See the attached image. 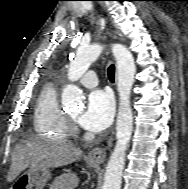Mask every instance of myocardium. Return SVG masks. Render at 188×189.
<instances>
[{"mask_svg":"<svg viewBox=\"0 0 188 189\" xmlns=\"http://www.w3.org/2000/svg\"><path fill=\"white\" fill-rule=\"evenodd\" d=\"M66 124H67L68 133L72 135L77 133V127L74 118H72L69 115H66Z\"/></svg>","mask_w":188,"mask_h":189,"instance_id":"myocardium-1","label":"myocardium"}]
</instances>
